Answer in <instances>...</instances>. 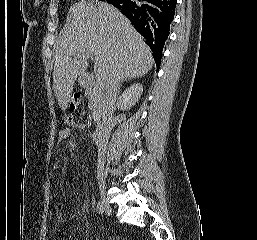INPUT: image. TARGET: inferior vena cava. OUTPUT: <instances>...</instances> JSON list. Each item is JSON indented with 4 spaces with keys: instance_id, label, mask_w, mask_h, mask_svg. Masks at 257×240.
Segmentation results:
<instances>
[{
    "instance_id": "602c4592",
    "label": "inferior vena cava",
    "mask_w": 257,
    "mask_h": 240,
    "mask_svg": "<svg viewBox=\"0 0 257 240\" xmlns=\"http://www.w3.org/2000/svg\"><path fill=\"white\" fill-rule=\"evenodd\" d=\"M121 78L117 72H114L110 79L105 83L103 89L104 107L102 111V128L103 136L107 138L111 129V121L115 108V102L118 95ZM104 167V158L100 155L98 157L97 169L102 171Z\"/></svg>"
}]
</instances>
